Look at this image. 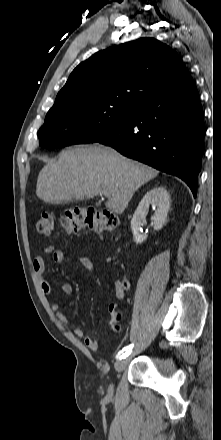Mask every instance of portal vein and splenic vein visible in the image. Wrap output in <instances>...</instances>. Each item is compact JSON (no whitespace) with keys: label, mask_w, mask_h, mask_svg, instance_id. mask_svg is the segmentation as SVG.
<instances>
[{"label":"portal vein and splenic vein","mask_w":221,"mask_h":440,"mask_svg":"<svg viewBox=\"0 0 221 440\" xmlns=\"http://www.w3.org/2000/svg\"><path fill=\"white\" fill-rule=\"evenodd\" d=\"M101 193H102L104 196H106V197L109 196V194H108L106 191H102Z\"/></svg>","instance_id":"portal-vein-and-splenic-vein-1"}]
</instances>
